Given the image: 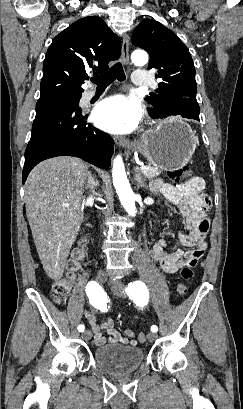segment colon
Listing matches in <instances>:
<instances>
[{
    "mask_svg": "<svg viewBox=\"0 0 243 409\" xmlns=\"http://www.w3.org/2000/svg\"><path fill=\"white\" fill-rule=\"evenodd\" d=\"M191 173V169L185 166L170 171L168 176L172 181L178 182L184 178L190 177ZM84 246L85 241H82L80 247L74 251L72 257L68 261L66 278L58 279L52 284L51 295L57 303L63 302L70 291L72 280L74 279L76 272L79 270L81 261L84 257ZM192 274L193 273L190 267L184 266L181 269L180 275L183 281L177 285V293L180 296H184L187 293L188 286L186 281L192 277ZM138 341L141 343L146 341L145 333H140L138 335Z\"/></svg>",
    "mask_w": 243,
    "mask_h": 409,
    "instance_id": "colon-1",
    "label": "colon"
}]
</instances>
